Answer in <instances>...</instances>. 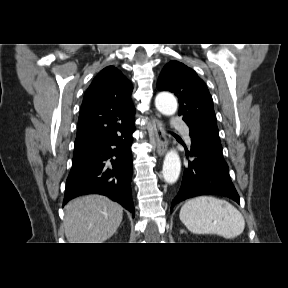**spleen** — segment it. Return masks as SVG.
I'll use <instances>...</instances> for the list:
<instances>
[{
    "label": "spleen",
    "instance_id": "3e777b00",
    "mask_svg": "<svg viewBox=\"0 0 288 288\" xmlns=\"http://www.w3.org/2000/svg\"><path fill=\"white\" fill-rule=\"evenodd\" d=\"M179 218L194 234H217L226 239L240 235L245 228L243 215L229 202L211 196L187 201Z\"/></svg>",
    "mask_w": 288,
    "mask_h": 288
}]
</instances>
